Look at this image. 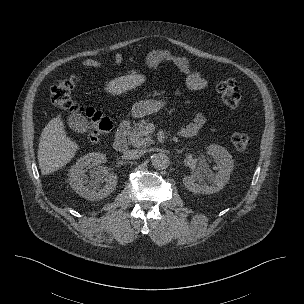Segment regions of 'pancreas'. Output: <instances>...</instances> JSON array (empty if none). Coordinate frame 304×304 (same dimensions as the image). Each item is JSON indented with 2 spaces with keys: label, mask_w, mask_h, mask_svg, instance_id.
<instances>
[{
  "label": "pancreas",
  "mask_w": 304,
  "mask_h": 304,
  "mask_svg": "<svg viewBox=\"0 0 304 304\" xmlns=\"http://www.w3.org/2000/svg\"><path fill=\"white\" fill-rule=\"evenodd\" d=\"M129 143L137 148L146 147L152 143L151 134L147 130L145 120L138 122L132 131L128 133Z\"/></svg>",
  "instance_id": "obj_1"
}]
</instances>
